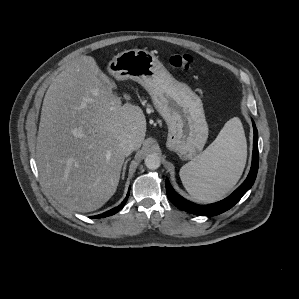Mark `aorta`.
Here are the masks:
<instances>
[{"mask_svg": "<svg viewBox=\"0 0 299 299\" xmlns=\"http://www.w3.org/2000/svg\"><path fill=\"white\" fill-rule=\"evenodd\" d=\"M161 160L157 154H148L145 158V165L150 170H155L160 167Z\"/></svg>", "mask_w": 299, "mask_h": 299, "instance_id": "1", "label": "aorta"}]
</instances>
